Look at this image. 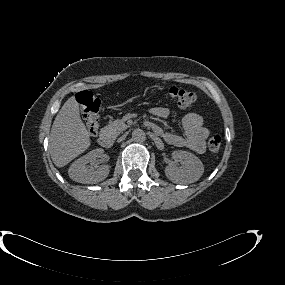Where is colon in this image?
I'll return each instance as SVG.
<instances>
[{"instance_id":"obj_1","label":"colon","mask_w":285,"mask_h":285,"mask_svg":"<svg viewBox=\"0 0 285 285\" xmlns=\"http://www.w3.org/2000/svg\"><path fill=\"white\" fill-rule=\"evenodd\" d=\"M169 97L181 107H189L197 100L196 93L179 88L170 87L168 89ZM77 102L80 105L86 127L91 135H95L99 130V117L98 112L100 109V100L90 91H82L77 95ZM222 139L219 135H214L207 141L208 150L216 154L221 149Z\"/></svg>"}]
</instances>
